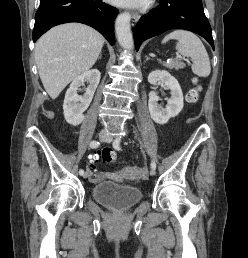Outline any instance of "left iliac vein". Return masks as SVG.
Wrapping results in <instances>:
<instances>
[{
	"instance_id": "left-iliac-vein-1",
	"label": "left iliac vein",
	"mask_w": 248,
	"mask_h": 258,
	"mask_svg": "<svg viewBox=\"0 0 248 258\" xmlns=\"http://www.w3.org/2000/svg\"><path fill=\"white\" fill-rule=\"evenodd\" d=\"M107 143H110L113 141V137L112 136H108V138L105 140ZM150 175L151 176H154L155 175V170L154 169H151L150 171Z\"/></svg>"
}]
</instances>
